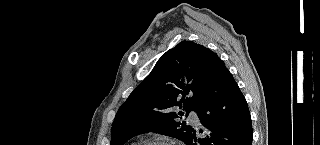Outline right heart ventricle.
Returning a JSON list of instances; mask_svg holds the SVG:
<instances>
[{"mask_svg":"<svg viewBox=\"0 0 320 145\" xmlns=\"http://www.w3.org/2000/svg\"><path fill=\"white\" fill-rule=\"evenodd\" d=\"M131 145H138V143H137V142H135V143H132Z\"/></svg>","mask_w":320,"mask_h":145,"instance_id":"obj_1","label":"right heart ventricle"}]
</instances>
